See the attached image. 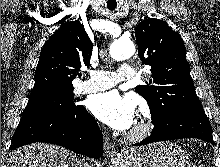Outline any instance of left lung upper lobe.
<instances>
[{"instance_id": "1", "label": "left lung upper lobe", "mask_w": 220, "mask_h": 167, "mask_svg": "<svg viewBox=\"0 0 220 167\" xmlns=\"http://www.w3.org/2000/svg\"><path fill=\"white\" fill-rule=\"evenodd\" d=\"M135 37L138 56L152 72L150 85H139L135 90L148 102L152 119L176 108L201 106L181 36L166 22L148 18L138 24Z\"/></svg>"}]
</instances>
